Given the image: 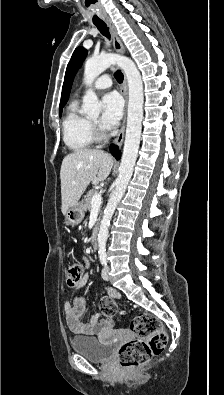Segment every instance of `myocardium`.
Wrapping results in <instances>:
<instances>
[{
	"mask_svg": "<svg viewBox=\"0 0 224 395\" xmlns=\"http://www.w3.org/2000/svg\"><path fill=\"white\" fill-rule=\"evenodd\" d=\"M91 124H92V128H93L94 138L97 140H101L103 138V135L97 127V122L92 121Z\"/></svg>",
	"mask_w": 224,
	"mask_h": 395,
	"instance_id": "1",
	"label": "myocardium"
}]
</instances>
